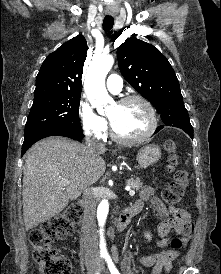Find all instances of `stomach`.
Returning <instances> with one entry per match:
<instances>
[{"label":"stomach","mask_w":221,"mask_h":274,"mask_svg":"<svg viewBox=\"0 0 221 274\" xmlns=\"http://www.w3.org/2000/svg\"><path fill=\"white\" fill-rule=\"evenodd\" d=\"M161 155L162 153L159 146L147 144L138 151L137 161L141 167L146 168L157 163Z\"/></svg>","instance_id":"obj_1"}]
</instances>
